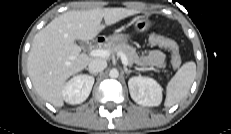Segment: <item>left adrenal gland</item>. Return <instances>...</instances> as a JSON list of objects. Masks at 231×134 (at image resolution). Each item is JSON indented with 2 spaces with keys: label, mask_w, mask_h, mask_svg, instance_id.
<instances>
[{
  "label": "left adrenal gland",
  "mask_w": 231,
  "mask_h": 134,
  "mask_svg": "<svg viewBox=\"0 0 231 134\" xmlns=\"http://www.w3.org/2000/svg\"><path fill=\"white\" fill-rule=\"evenodd\" d=\"M124 71H125V73H126V74H130V73H132V72H133L132 70L127 69L126 67H124Z\"/></svg>",
  "instance_id": "left-adrenal-gland-1"
}]
</instances>
